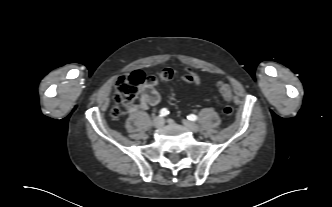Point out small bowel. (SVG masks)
<instances>
[{
    "label": "small bowel",
    "mask_w": 332,
    "mask_h": 207,
    "mask_svg": "<svg viewBox=\"0 0 332 207\" xmlns=\"http://www.w3.org/2000/svg\"><path fill=\"white\" fill-rule=\"evenodd\" d=\"M186 85H199L201 83L200 76L193 70H187L182 78ZM158 81L155 77H150L143 87L140 100L137 104L131 107L132 112L145 110L149 106H154L160 103L161 95L157 90Z\"/></svg>",
    "instance_id": "1"
}]
</instances>
